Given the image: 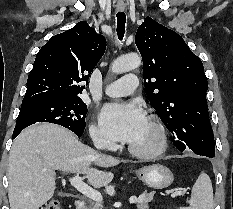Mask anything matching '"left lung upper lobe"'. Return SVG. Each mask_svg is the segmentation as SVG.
Listing matches in <instances>:
<instances>
[{"label": "left lung upper lobe", "mask_w": 233, "mask_h": 209, "mask_svg": "<svg viewBox=\"0 0 233 209\" xmlns=\"http://www.w3.org/2000/svg\"><path fill=\"white\" fill-rule=\"evenodd\" d=\"M135 43L143 59L148 99L172 133L174 145L214 157L208 83L199 57L179 34L149 17L139 26Z\"/></svg>", "instance_id": "obj_1"}]
</instances>
